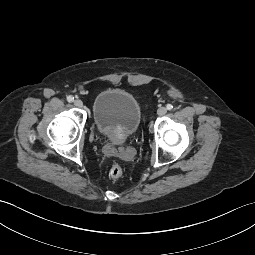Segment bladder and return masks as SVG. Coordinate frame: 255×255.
I'll use <instances>...</instances> for the list:
<instances>
[{
	"mask_svg": "<svg viewBox=\"0 0 255 255\" xmlns=\"http://www.w3.org/2000/svg\"><path fill=\"white\" fill-rule=\"evenodd\" d=\"M92 116L97 130L106 137L128 138L138 129L142 111L138 100L120 89L104 90L92 104Z\"/></svg>",
	"mask_w": 255,
	"mask_h": 255,
	"instance_id": "obj_1",
	"label": "bladder"
}]
</instances>
